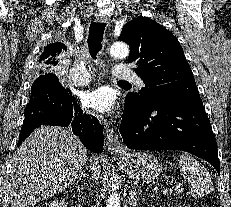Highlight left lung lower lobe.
<instances>
[{
  "instance_id": "1",
  "label": "left lung lower lobe",
  "mask_w": 231,
  "mask_h": 207,
  "mask_svg": "<svg viewBox=\"0 0 231 207\" xmlns=\"http://www.w3.org/2000/svg\"><path fill=\"white\" fill-rule=\"evenodd\" d=\"M120 133L135 150H182L220 172L216 139L201 99L134 108L125 102Z\"/></svg>"
}]
</instances>
